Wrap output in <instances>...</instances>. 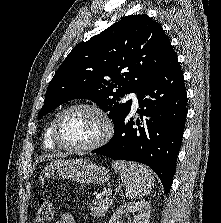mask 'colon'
Returning a JSON list of instances; mask_svg holds the SVG:
<instances>
[{
    "label": "colon",
    "instance_id": "1",
    "mask_svg": "<svg viewBox=\"0 0 221 223\" xmlns=\"http://www.w3.org/2000/svg\"><path fill=\"white\" fill-rule=\"evenodd\" d=\"M55 201L53 199H41L38 201L35 211V223H50L54 216Z\"/></svg>",
    "mask_w": 221,
    "mask_h": 223
}]
</instances>
